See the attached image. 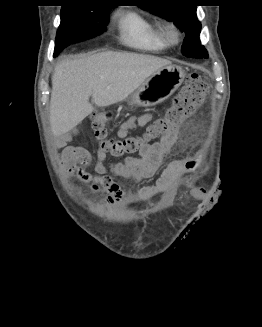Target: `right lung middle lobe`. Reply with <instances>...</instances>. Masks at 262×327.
Segmentation results:
<instances>
[{
	"label": "right lung middle lobe",
	"mask_w": 262,
	"mask_h": 327,
	"mask_svg": "<svg viewBox=\"0 0 262 327\" xmlns=\"http://www.w3.org/2000/svg\"><path fill=\"white\" fill-rule=\"evenodd\" d=\"M111 7L93 4H70L61 9L54 56L69 44L98 36L106 31Z\"/></svg>",
	"instance_id": "obj_1"
}]
</instances>
